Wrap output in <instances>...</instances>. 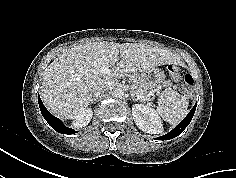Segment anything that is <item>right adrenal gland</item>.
<instances>
[{
	"mask_svg": "<svg viewBox=\"0 0 236 178\" xmlns=\"http://www.w3.org/2000/svg\"><path fill=\"white\" fill-rule=\"evenodd\" d=\"M97 99H98V97L92 98V99L90 100V103H91V104L94 103V101H97Z\"/></svg>",
	"mask_w": 236,
	"mask_h": 178,
	"instance_id": "obj_1",
	"label": "right adrenal gland"
}]
</instances>
